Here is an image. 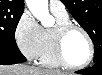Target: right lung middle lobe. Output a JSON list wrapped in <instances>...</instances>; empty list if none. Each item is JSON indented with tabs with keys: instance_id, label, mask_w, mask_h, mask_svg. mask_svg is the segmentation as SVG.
Segmentation results:
<instances>
[{
	"instance_id": "dd1d6c3e",
	"label": "right lung middle lobe",
	"mask_w": 102,
	"mask_h": 75,
	"mask_svg": "<svg viewBox=\"0 0 102 75\" xmlns=\"http://www.w3.org/2000/svg\"><path fill=\"white\" fill-rule=\"evenodd\" d=\"M23 11L0 6V47H17L14 35Z\"/></svg>"
}]
</instances>
